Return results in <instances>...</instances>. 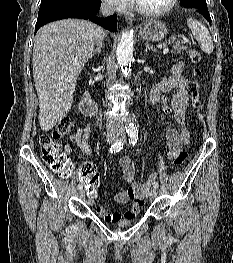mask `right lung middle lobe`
Listing matches in <instances>:
<instances>
[{
  "instance_id": "1",
  "label": "right lung middle lobe",
  "mask_w": 233,
  "mask_h": 263,
  "mask_svg": "<svg viewBox=\"0 0 233 263\" xmlns=\"http://www.w3.org/2000/svg\"><path fill=\"white\" fill-rule=\"evenodd\" d=\"M79 1L82 0H41L37 22L69 14L74 11Z\"/></svg>"
}]
</instances>
